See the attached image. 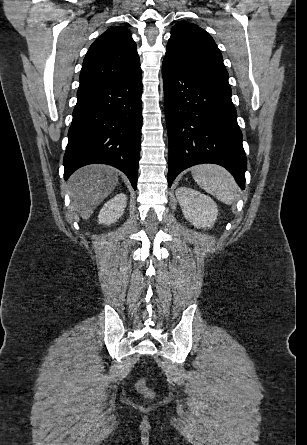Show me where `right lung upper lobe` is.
Masks as SVG:
<instances>
[{"instance_id": "obj_1", "label": "right lung upper lobe", "mask_w": 307, "mask_h": 445, "mask_svg": "<svg viewBox=\"0 0 307 445\" xmlns=\"http://www.w3.org/2000/svg\"><path fill=\"white\" fill-rule=\"evenodd\" d=\"M140 68L137 46L125 27H112L90 46L80 73V86L122 78Z\"/></svg>"}]
</instances>
